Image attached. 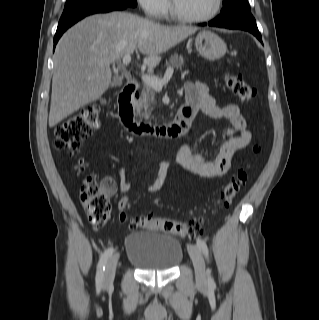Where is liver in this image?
<instances>
[{"mask_svg":"<svg viewBox=\"0 0 319 320\" xmlns=\"http://www.w3.org/2000/svg\"><path fill=\"white\" fill-rule=\"evenodd\" d=\"M196 31L165 26L126 12L86 17L60 38L54 54L49 126L99 99L111 84L110 65L136 48L154 67L165 53Z\"/></svg>","mask_w":319,"mask_h":320,"instance_id":"1","label":"liver"}]
</instances>
